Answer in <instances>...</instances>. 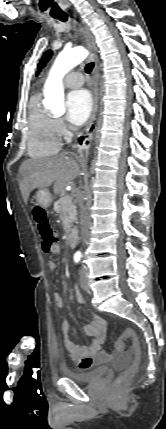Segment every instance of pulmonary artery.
Segmentation results:
<instances>
[{
	"instance_id": "1",
	"label": "pulmonary artery",
	"mask_w": 166,
	"mask_h": 429,
	"mask_svg": "<svg viewBox=\"0 0 166 429\" xmlns=\"http://www.w3.org/2000/svg\"><path fill=\"white\" fill-rule=\"evenodd\" d=\"M64 81L66 86L75 88L84 83V76L81 72H70Z\"/></svg>"
}]
</instances>
